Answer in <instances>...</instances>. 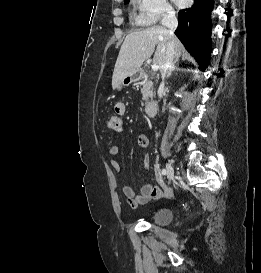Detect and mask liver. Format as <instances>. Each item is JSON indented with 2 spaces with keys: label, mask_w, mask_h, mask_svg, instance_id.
I'll list each match as a JSON object with an SVG mask.
<instances>
[{
  "label": "liver",
  "mask_w": 261,
  "mask_h": 273,
  "mask_svg": "<svg viewBox=\"0 0 261 273\" xmlns=\"http://www.w3.org/2000/svg\"><path fill=\"white\" fill-rule=\"evenodd\" d=\"M170 40L168 30L162 26L149 27L141 31L132 32L126 36L119 55L116 60L112 76V87L116 89L121 81L135 74L145 60L154 53L153 63L161 67L165 61L167 44ZM144 48V50H142ZM184 47L182 43L174 37L175 58L178 59Z\"/></svg>",
  "instance_id": "6515ba94"
}]
</instances>
